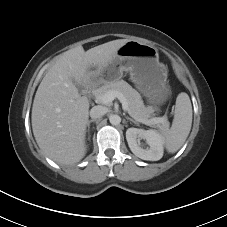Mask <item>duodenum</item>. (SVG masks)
<instances>
[{
  "instance_id": "410a0bca",
  "label": "duodenum",
  "mask_w": 227,
  "mask_h": 227,
  "mask_svg": "<svg viewBox=\"0 0 227 227\" xmlns=\"http://www.w3.org/2000/svg\"><path fill=\"white\" fill-rule=\"evenodd\" d=\"M94 88V83L93 82H88L86 85L87 91H91Z\"/></svg>"
}]
</instances>
